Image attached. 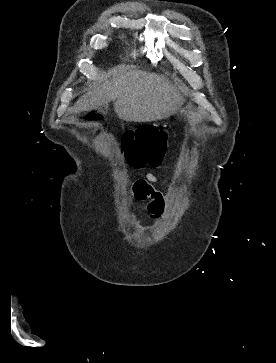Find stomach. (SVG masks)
<instances>
[{"label":"stomach","mask_w":276,"mask_h":363,"mask_svg":"<svg viewBox=\"0 0 276 363\" xmlns=\"http://www.w3.org/2000/svg\"><path fill=\"white\" fill-rule=\"evenodd\" d=\"M184 111V108H182V105L179 107V109L175 112V114L177 113H181Z\"/></svg>","instance_id":"obj_1"}]
</instances>
